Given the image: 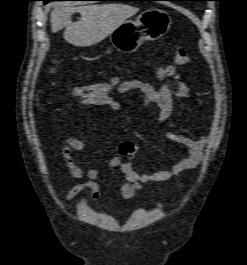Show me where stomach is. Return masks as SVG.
Returning a JSON list of instances; mask_svg holds the SVG:
<instances>
[{
    "label": "stomach",
    "instance_id": "obj_1",
    "mask_svg": "<svg viewBox=\"0 0 247 265\" xmlns=\"http://www.w3.org/2000/svg\"><path fill=\"white\" fill-rule=\"evenodd\" d=\"M170 27L171 18L166 11L150 8L140 13L136 20H126L110 34V41L118 51L133 53L145 41L164 36Z\"/></svg>",
    "mask_w": 247,
    "mask_h": 265
}]
</instances>
